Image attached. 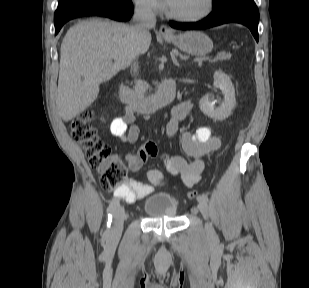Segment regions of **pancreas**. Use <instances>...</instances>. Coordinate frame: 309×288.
<instances>
[{
    "instance_id": "pancreas-1",
    "label": "pancreas",
    "mask_w": 309,
    "mask_h": 288,
    "mask_svg": "<svg viewBox=\"0 0 309 288\" xmlns=\"http://www.w3.org/2000/svg\"><path fill=\"white\" fill-rule=\"evenodd\" d=\"M231 58V54L228 53H220L217 55L216 58H214L213 60H210L211 63H215L217 61H225V60H229ZM149 85L144 82V81H137L134 87V93L136 95V97L138 98H142L146 92V90L148 89Z\"/></svg>"
}]
</instances>
